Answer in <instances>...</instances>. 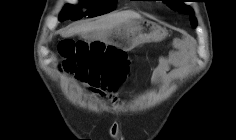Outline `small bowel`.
I'll use <instances>...</instances> for the list:
<instances>
[{
	"instance_id": "obj_1",
	"label": "small bowel",
	"mask_w": 236,
	"mask_h": 140,
	"mask_svg": "<svg viewBox=\"0 0 236 140\" xmlns=\"http://www.w3.org/2000/svg\"><path fill=\"white\" fill-rule=\"evenodd\" d=\"M174 50L163 56L152 74V83L155 85H168L176 80L188 65L189 57L182 40L174 41Z\"/></svg>"
}]
</instances>
